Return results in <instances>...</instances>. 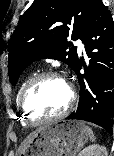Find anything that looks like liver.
I'll list each match as a JSON object with an SVG mask.
<instances>
[{
    "mask_svg": "<svg viewBox=\"0 0 114 156\" xmlns=\"http://www.w3.org/2000/svg\"><path fill=\"white\" fill-rule=\"evenodd\" d=\"M41 129V128H40ZM38 129L37 131L31 133L20 145L19 149H18V156H20L21 154H23L25 152V150L27 149L29 143L31 142V140L33 139V137L36 135V133L40 130Z\"/></svg>",
    "mask_w": 114,
    "mask_h": 156,
    "instance_id": "liver-1",
    "label": "liver"
}]
</instances>
